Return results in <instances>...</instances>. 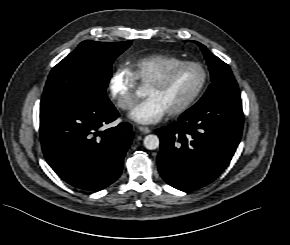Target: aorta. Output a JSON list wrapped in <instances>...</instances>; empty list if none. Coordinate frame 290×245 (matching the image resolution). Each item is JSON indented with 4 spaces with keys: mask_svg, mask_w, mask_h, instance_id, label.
<instances>
[{
    "mask_svg": "<svg viewBox=\"0 0 290 245\" xmlns=\"http://www.w3.org/2000/svg\"><path fill=\"white\" fill-rule=\"evenodd\" d=\"M160 140L157 135L149 134L144 138V146L149 150H155L159 147Z\"/></svg>",
    "mask_w": 290,
    "mask_h": 245,
    "instance_id": "1",
    "label": "aorta"
}]
</instances>
